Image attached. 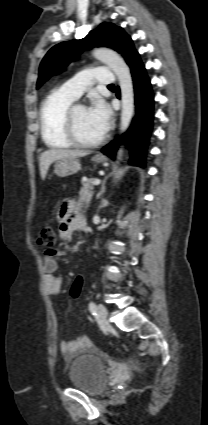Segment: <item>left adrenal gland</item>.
Instances as JSON below:
<instances>
[{
    "instance_id": "left-adrenal-gland-1",
    "label": "left adrenal gland",
    "mask_w": 208,
    "mask_h": 425,
    "mask_svg": "<svg viewBox=\"0 0 208 425\" xmlns=\"http://www.w3.org/2000/svg\"><path fill=\"white\" fill-rule=\"evenodd\" d=\"M104 192H105V181L102 183V186H101V190L99 192V195H102Z\"/></svg>"
}]
</instances>
